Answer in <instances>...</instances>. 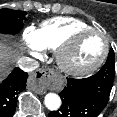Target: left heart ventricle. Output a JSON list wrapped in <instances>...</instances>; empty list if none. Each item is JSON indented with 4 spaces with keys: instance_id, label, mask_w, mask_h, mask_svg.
<instances>
[{
    "instance_id": "b2bd125f",
    "label": "left heart ventricle",
    "mask_w": 117,
    "mask_h": 117,
    "mask_svg": "<svg viewBox=\"0 0 117 117\" xmlns=\"http://www.w3.org/2000/svg\"><path fill=\"white\" fill-rule=\"evenodd\" d=\"M104 41L101 36L90 34L82 37L70 55V62L76 66H87L102 54Z\"/></svg>"
}]
</instances>
